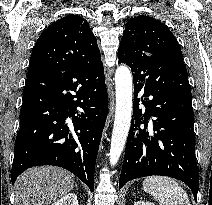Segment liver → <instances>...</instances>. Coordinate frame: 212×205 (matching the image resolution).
I'll use <instances>...</instances> for the list:
<instances>
[{
	"mask_svg": "<svg viewBox=\"0 0 212 205\" xmlns=\"http://www.w3.org/2000/svg\"><path fill=\"white\" fill-rule=\"evenodd\" d=\"M74 187V175L53 166L34 167L21 174L15 183L17 205H50Z\"/></svg>",
	"mask_w": 212,
	"mask_h": 205,
	"instance_id": "obj_1",
	"label": "liver"
}]
</instances>
